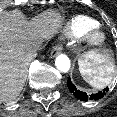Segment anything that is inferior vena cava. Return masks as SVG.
<instances>
[{
	"label": "inferior vena cava",
	"mask_w": 117,
	"mask_h": 117,
	"mask_svg": "<svg viewBox=\"0 0 117 117\" xmlns=\"http://www.w3.org/2000/svg\"><path fill=\"white\" fill-rule=\"evenodd\" d=\"M42 47H43L42 44L38 45V46L34 45V46H32L31 51H32V53L37 54L42 49Z\"/></svg>",
	"instance_id": "1"
}]
</instances>
